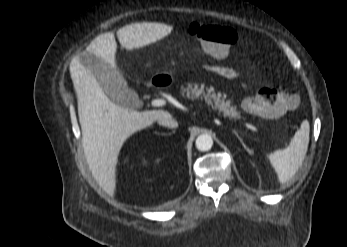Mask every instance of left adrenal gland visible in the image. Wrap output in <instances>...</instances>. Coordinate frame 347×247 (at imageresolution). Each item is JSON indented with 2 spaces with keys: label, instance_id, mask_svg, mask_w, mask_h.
<instances>
[{
  "label": "left adrenal gland",
  "instance_id": "left-adrenal-gland-1",
  "mask_svg": "<svg viewBox=\"0 0 347 247\" xmlns=\"http://www.w3.org/2000/svg\"><path fill=\"white\" fill-rule=\"evenodd\" d=\"M233 133L236 135V137L238 138V140L241 142L242 146L245 148V150L250 153V150L248 149V147L245 145L243 139L239 136L238 132L236 130H233Z\"/></svg>",
  "mask_w": 347,
  "mask_h": 247
}]
</instances>
